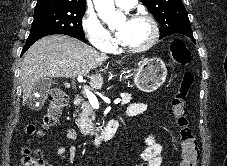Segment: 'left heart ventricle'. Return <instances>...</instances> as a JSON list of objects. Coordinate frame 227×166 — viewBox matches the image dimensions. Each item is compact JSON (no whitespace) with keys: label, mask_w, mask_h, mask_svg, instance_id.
Masks as SVG:
<instances>
[{"label":"left heart ventricle","mask_w":227,"mask_h":166,"mask_svg":"<svg viewBox=\"0 0 227 166\" xmlns=\"http://www.w3.org/2000/svg\"><path fill=\"white\" fill-rule=\"evenodd\" d=\"M124 31L122 43L126 46H138L145 43L151 34L149 24L145 20L123 19L118 23Z\"/></svg>","instance_id":"b2bd125f"}]
</instances>
